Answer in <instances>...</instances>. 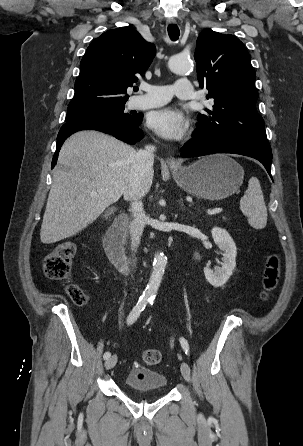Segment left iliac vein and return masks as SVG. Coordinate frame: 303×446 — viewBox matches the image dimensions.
Returning <instances> with one entry per match:
<instances>
[{
  "mask_svg": "<svg viewBox=\"0 0 303 446\" xmlns=\"http://www.w3.org/2000/svg\"><path fill=\"white\" fill-rule=\"evenodd\" d=\"M180 370H181V374L184 377V379L188 382H190L191 380V376H190V367L186 362H182L181 366H180Z\"/></svg>",
  "mask_w": 303,
  "mask_h": 446,
  "instance_id": "obj_1",
  "label": "left iliac vein"
}]
</instances>
